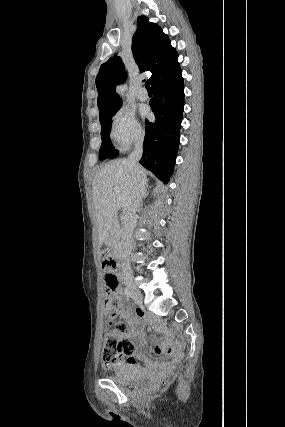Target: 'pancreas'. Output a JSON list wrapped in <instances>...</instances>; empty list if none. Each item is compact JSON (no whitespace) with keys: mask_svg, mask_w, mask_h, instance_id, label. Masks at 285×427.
Segmentation results:
<instances>
[{"mask_svg":"<svg viewBox=\"0 0 285 427\" xmlns=\"http://www.w3.org/2000/svg\"><path fill=\"white\" fill-rule=\"evenodd\" d=\"M120 239V228L118 226H114L108 234L106 243L108 246L113 247L116 246Z\"/></svg>","mask_w":285,"mask_h":427,"instance_id":"1","label":"pancreas"}]
</instances>
